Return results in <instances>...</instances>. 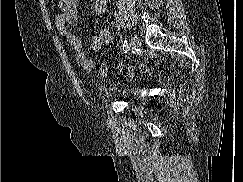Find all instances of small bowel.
Returning a JSON list of instances; mask_svg holds the SVG:
<instances>
[{
    "label": "small bowel",
    "instance_id": "1",
    "mask_svg": "<svg viewBox=\"0 0 243 182\" xmlns=\"http://www.w3.org/2000/svg\"><path fill=\"white\" fill-rule=\"evenodd\" d=\"M110 0H94L90 5V11L94 15H101L106 10ZM78 0H59L61 12L56 16L55 23L62 37L66 39L75 53L76 63L86 71L94 68V62L83 51L81 38L73 31L78 21ZM112 36L106 28L99 29L98 33L91 39L93 51H100L104 45L110 43Z\"/></svg>",
    "mask_w": 243,
    "mask_h": 182
}]
</instances>
